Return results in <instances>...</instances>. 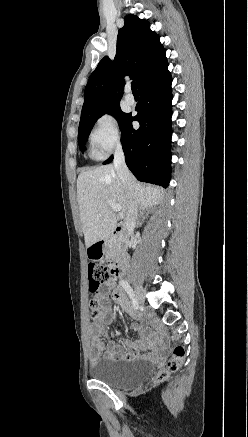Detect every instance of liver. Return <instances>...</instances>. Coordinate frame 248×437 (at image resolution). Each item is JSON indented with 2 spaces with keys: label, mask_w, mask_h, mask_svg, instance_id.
<instances>
[{
  "label": "liver",
  "mask_w": 248,
  "mask_h": 437,
  "mask_svg": "<svg viewBox=\"0 0 248 437\" xmlns=\"http://www.w3.org/2000/svg\"><path fill=\"white\" fill-rule=\"evenodd\" d=\"M133 195L141 213L162 200L158 188L142 185L134 177ZM77 200L87 247L109 237L116 227V215L108 200L121 206L124 219L128 214L129 195L113 165L99 166L80 173L77 179Z\"/></svg>",
  "instance_id": "obj_1"
}]
</instances>
